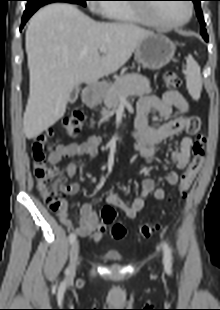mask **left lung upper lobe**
Returning <instances> with one entry per match:
<instances>
[{
	"instance_id": "obj_1",
	"label": "left lung upper lobe",
	"mask_w": 220,
	"mask_h": 310,
	"mask_svg": "<svg viewBox=\"0 0 220 310\" xmlns=\"http://www.w3.org/2000/svg\"><path fill=\"white\" fill-rule=\"evenodd\" d=\"M192 1H193L194 4H195L197 16H198V18H199V20H200V23H201V25H202V27H201V34H202L203 38L208 37V36H207L206 29H205V27H204V26H205V22H204L203 14H202L201 7H200V1H201V0H192Z\"/></svg>"
}]
</instances>
